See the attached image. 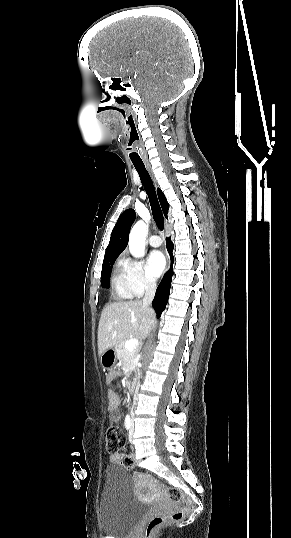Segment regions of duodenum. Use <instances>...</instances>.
<instances>
[{
	"mask_svg": "<svg viewBox=\"0 0 291 538\" xmlns=\"http://www.w3.org/2000/svg\"><path fill=\"white\" fill-rule=\"evenodd\" d=\"M112 356H114V353L112 352L111 353ZM124 378H125V381L123 382V387L127 390H132L135 388L136 386V383L134 380H132L131 378V374L129 373H124Z\"/></svg>",
	"mask_w": 291,
	"mask_h": 538,
	"instance_id": "obj_1",
	"label": "duodenum"
}]
</instances>
